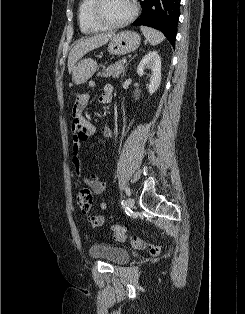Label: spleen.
Listing matches in <instances>:
<instances>
[{
  "mask_svg": "<svg viewBox=\"0 0 245 314\" xmlns=\"http://www.w3.org/2000/svg\"><path fill=\"white\" fill-rule=\"evenodd\" d=\"M140 30L151 45H157L165 39L164 35L160 31L151 27L141 26Z\"/></svg>",
  "mask_w": 245,
  "mask_h": 314,
  "instance_id": "spleen-1",
  "label": "spleen"
}]
</instances>
